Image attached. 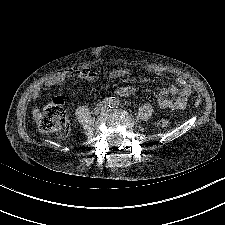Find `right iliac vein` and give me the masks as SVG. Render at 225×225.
Wrapping results in <instances>:
<instances>
[{"mask_svg": "<svg viewBox=\"0 0 225 225\" xmlns=\"http://www.w3.org/2000/svg\"><path fill=\"white\" fill-rule=\"evenodd\" d=\"M99 110H100V108H97L95 112H96V113H99Z\"/></svg>", "mask_w": 225, "mask_h": 225, "instance_id": "1", "label": "right iliac vein"}]
</instances>
